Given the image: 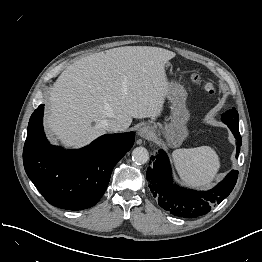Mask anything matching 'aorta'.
Listing matches in <instances>:
<instances>
[{"mask_svg": "<svg viewBox=\"0 0 262 262\" xmlns=\"http://www.w3.org/2000/svg\"><path fill=\"white\" fill-rule=\"evenodd\" d=\"M132 160L138 165L145 164L149 160V153L146 148L140 146L132 151Z\"/></svg>", "mask_w": 262, "mask_h": 262, "instance_id": "aorta-1", "label": "aorta"}]
</instances>
